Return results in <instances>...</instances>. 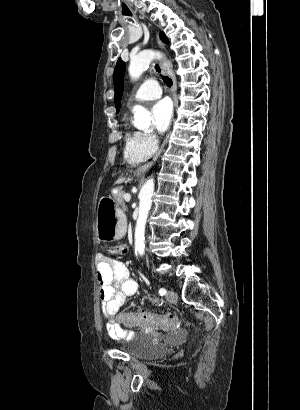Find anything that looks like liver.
<instances>
[{
	"mask_svg": "<svg viewBox=\"0 0 300 410\" xmlns=\"http://www.w3.org/2000/svg\"><path fill=\"white\" fill-rule=\"evenodd\" d=\"M122 182H124V178H120V179L117 181V183H122Z\"/></svg>",
	"mask_w": 300,
	"mask_h": 410,
	"instance_id": "liver-1",
	"label": "liver"
}]
</instances>
